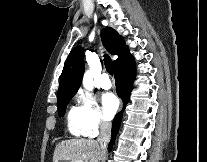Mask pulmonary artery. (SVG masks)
I'll use <instances>...</instances> for the list:
<instances>
[{
	"instance_id": "1",
	"label": "pulmonary artery",
	"mask_w": 207,
	"mask_h": 162,
	"mask_svg": "<svg viewBox=\"0 0 207 162\" xmlns=\"http://www.w3.org/2000/svg\"><path fill=\"white\" fill-rule=\"evenodd\" d=\"M99 86L102 89L108 90L112 87L111 80L109 79V76L106 73H103L99 79Z\"/></svg>"
}]
</instances>
